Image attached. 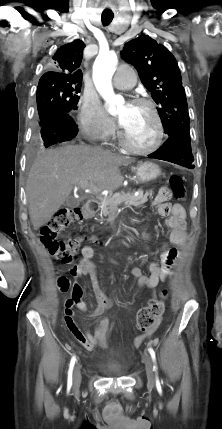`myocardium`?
Listing matches in <instances>:
<instances>
[{"mask_svg": "<svg viewBox=\"0 0 222 429\" xmlns=\"http://www.w3.org/2000/svg\"><path fill=\"white\" fill-rule=\"evenodd\" d=\"M133 103L144 105L149 109V111L153 117L154 123H155V129H156L155 140L148 147H144V148L137 147V146L133 145L128 140L125 131L122 128H120V130L118 132V137H119L120 143L122 144V146L124 148H126L128 151H130L134 154H139V155L151 154V153L157 151L163 142L164 126H163L161 116H160L155 104L147 98H143V97L135 98Z\"/></svg>", "mask_w": 222, "mask_h": 429, "instance_id": "f54148a6", "label": "myocardium"}]
</instances>
